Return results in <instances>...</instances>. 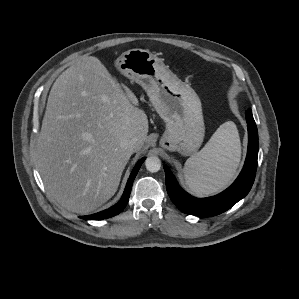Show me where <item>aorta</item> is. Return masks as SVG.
I'll return each mask as SVG.
<instances>
[{
    "label": "aorta",
    "mask_w": 299,
    "mask_h": 299,
    "mask_svg": "<svg viewBox=\"0 0 299 299\" xmlns=\"http://www.w3.org/2000/svg\"><path fill=\"white\" fill-rule=\"evenodd\" d=\"M145 166L149 172H158L161 168V161L157 156H150L146 159Z\"/></svg>",
    "instance_id": "762f6f07"
}]
</instances>
